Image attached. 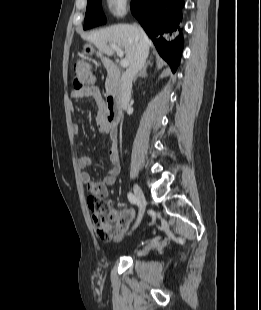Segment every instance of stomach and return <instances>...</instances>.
<instances>
[{
	"label": "stomach",
	"instance_id": "obj_1",
	"mask_svg": "<svg viewBox=\"0 0 261 310\" xmlns=\"http://www.w3.org/2000/svg\"><path fill=\"white\" fill-rule=\"evenodd\" d=\"M83 52L85 54H92L94 52V47L91 43H87L84 45Z\"/></svg>",
	"mask_w": 261,
	"mask_h": 310
}]
</instances>
